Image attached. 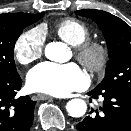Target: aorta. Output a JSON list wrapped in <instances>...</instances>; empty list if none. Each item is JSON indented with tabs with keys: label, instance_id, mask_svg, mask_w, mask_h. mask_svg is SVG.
Here are the masks:
<instances>
[{
	"label": "aorta",
	"instance_id": "762f6f07",
	"mask_svg": "<svg viewBox=\"0 0 131 131\" xmlns=\"http://www.w3.org/2000/svg\"><path fill=\"white\" fill-rule=\"evenodd\" d=\"M66 47L61 43L52 42L45 48V55L52 61H61ZM67 112L72 117H82L87 110V104L82 99H72L66 105Z\"/></svg>",
	"mask_w": 131,
	"mask_h": 131
}]
</instances>
